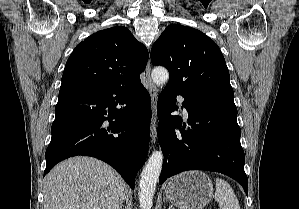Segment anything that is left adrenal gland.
I'll list each match as a JSON object with an SVG mask.
<instances>
[{"label": "left adrenal gland", "instance_id": "a2214340", "mask_svg": "<svg viewBox=\"0 0 299 209\" xmlns=\"http://www.w3.org/2000/svg\"><path fill=\"white\" fill-rule=\"evenodd\" d=\"M169 209H174V207L172 205L169 206Z\"/></svg>", "mask_w": 299, "mask_h": 209}]
</instances>
